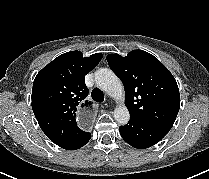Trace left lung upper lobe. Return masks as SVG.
<instances>
[{"label": "left lung upper lobe", "instance_id": "left-lung-upper-lobe-1", "mask_svg": "<svg viewBox=\"0 0 209 179\" xmlns=\"http://www.w3.org/2000/svg\"><path fill=\"white\" fill-rule=\"evenodd\" d=\"M107 61L124 84L130 116L171 129L180 108V94L170 71L142 50H133L126 57L109 54Z\"/></svg>", "mask_w": 209, "mask_h": 179}]
</instances>
